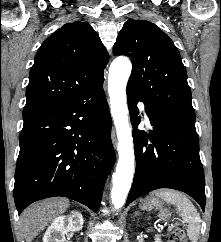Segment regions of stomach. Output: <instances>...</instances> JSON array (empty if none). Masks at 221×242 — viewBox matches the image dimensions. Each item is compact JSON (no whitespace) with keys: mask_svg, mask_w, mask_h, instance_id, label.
Segmentation results:
<instances>
[{"mask_svg":"<svg viewBox=\"0 0 221 242\" xmlns=\"http://www.w3.org/2000/svg\"><path fill=\"white\" fill-rule=\"evenodd\" d=\"M140 207L142 210H145V211H150L154 208L159 209L160 213L158 214V216L162 220H166L171 215L168 209L163 208V202L159 198L151 197V198L142 200Z\"/></svg>","mask_w":221,"mask_h":242,"instance_id":"1","label":"stomach"}]
</instances>
